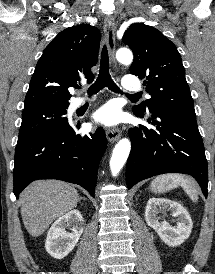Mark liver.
Returning a JSON list of instances; mask_svg holds the SVG:
<instances>
[{"label":"liver","instance_id":"obj_1","mask_svg":"<svg viewBox=\"0 0 215 274\" xmlns=\"http://www.w3.org/2000/svg\"><path fill=\"white\" fill-rule=\"evenodd\" d=\"M79 195L68 183L39 180L29 185L20 196L21 216L28 233L38 237L57 218L77 206Z\"/></svg>","mask_w":215,"mask_h":274}]
</instances>
